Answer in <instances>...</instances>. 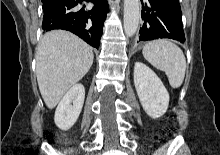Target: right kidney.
Masks as SVG:
<instances>
[{
    "mask_svg": "<svg viewBox=\"0 0 220 155\" xmlns=\"http://www.w3.org/2000/svg\"><path fill=\"white\" fill-rule=\"evenodd\" d=\"M84 99L85 89L82 84H75L64 95L54 116L55 124L59 129L68 130L75 124L82 110Z\"/></svg>",
    "mask_w": 220,
    "mask_h": 155,
    "instance_id": "1",
    "label": "right kidney"
}]
</instances>
